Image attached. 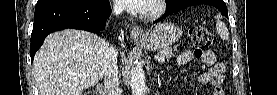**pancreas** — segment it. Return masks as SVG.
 <instances>
[{
    "label": "pancreas",
    "mask_w": 277,
    "mask_h": 95,
    "mask_svg": "<svg viewBox=\"0 0 277 95\" xmlns=\"http://www.w3.org/2000/svg\"><path fill=\"white\" fill-rule=\"evenodd\" d=\"M176 51H177V47H166L159 52V55L164 56L165 58L168 59V58H171Z\"/></svg>",
    "instance_id": "cf45deb5"
}]
</instances>
